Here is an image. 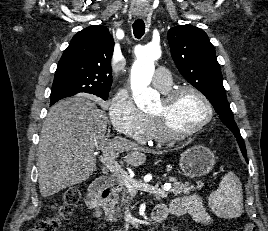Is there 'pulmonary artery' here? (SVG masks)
Wrapping results in <instances>:
<instances>
[{"mask_svg":"<svg viewBox=\"0 0 268 231\" xmlns=\"http://www.w3.org/2000/svg\"><path fill=\"white\" fill-rule=\"evenodd\" d=\"M152 82L155 86L161 89H165L170 86L172 80L169 70L163 66L158 67L153 75Z\"/></svg>","mask_w":268,"mask_h":231,"instance_id":"pulmonary-artery-1","label":"pulmonary artery"}]
</instances>
